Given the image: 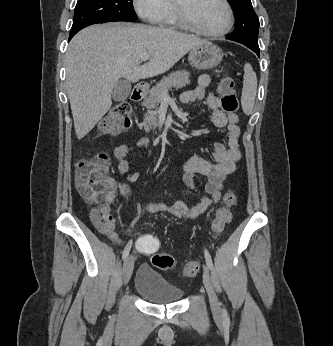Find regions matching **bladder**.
I'll return each instance as SVG.
<instances>
[{
	"label": "bladder",
	"mask_w": 333,
	"mask_h": 346,
	"mask_svg": "<svg viewBox=\"0 0 333 346\" xmlns=\"http://www.w3.org/2000/svg\"><path fill=\"white\" fill-rule=\"evenodd\" d=\"M134 289L153 304L175 303L184 295L182 288L169 282L147 264H142L136 273Z\"/></svg>",
	"instance_id": "31cf9c89"
}]
</instances>
